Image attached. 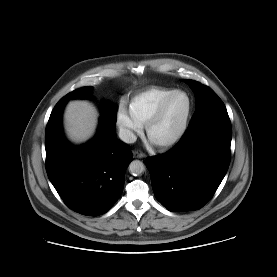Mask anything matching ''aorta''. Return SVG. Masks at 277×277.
Returning <instances> with one entry per match:
<instances>
[{
  "instance_id": "1",
  "label": "aorta",
  "mask_w": 277,
  "mask_h": 277,
  "mask_svg": "<svg viewBox=\"0 0 277 277\" xmlns=\"http://www.w3.org/2000/svg\"><path fill=\"white\" fill-rule=\"evenodd\" d=\"M145 171V166L143 164V162L139 161V160H134L130 163L129 165V172L132 175H140L141 173H143Z\"/></svg>"
}]
</instances>
